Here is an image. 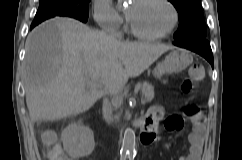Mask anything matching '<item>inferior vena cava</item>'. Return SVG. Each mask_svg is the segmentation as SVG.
<instances>
[{
    "label": "inferior vena cava",
    "mask_w": 242,
    "mask_h": 160,
    "mask_svg": "<svg viewBox=\"0 0 242 160\" xmlns=\"http://www.w3.org/2000/svg\"><path fill=\"white\" fill-rule=\"evenodd\" d=\"M103 93H104V96H106L108 94V90L105 89ZM102 114H103L105 121L108 124H110L113 121L112 106L107 97H104V99H103Z\"/></svg>",
    "instance_id": "1"
}]
</instances>
